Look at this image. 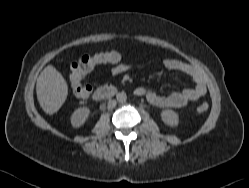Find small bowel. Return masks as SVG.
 <instances>
[{"instance_id":"1","label":"small bowel","mask_w":249,"mask_h":188,"mask_svg":"<svg viewBox=\"0 0 249 188\" xmlns=\"http://www.w3.org/2000/svg\"><path fill=\"white\" fill-rule=\"evenodd\" d=\"M163 65L167 70L180 72L189 76L194 82V87L186 88L180 92H172L165 96L159 95L147 87L137 88L135 94L144 96L150 105L158 108H183L188 103L197 101L207 93V87L203 77L190 64L170 58L165 59ZM126 70L127 65L118 61L114 63L112 72L114 74H120ZM137 91H139V94H137Z\"/></svg>"}]
</instances>
